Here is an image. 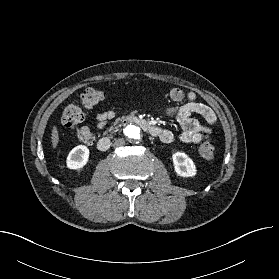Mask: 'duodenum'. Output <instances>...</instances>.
Instances as JSON below:
<instances>
[{"instance_id":"duodenum-1","label":"duodenum","mask_w":279,"mask_h":279,"mask_svg":"<svg viewBox=\"0 0 279 279\" xmlns=\"http://www.w3.org/2000/svg\"><path fill=\"white\" fill-rule=\"evenodd\" d=\"M128 123H134L140 126L145 132L149 133L150 135L157 136L159 130L156 126L152 125L148 120L144 118H140L134 115H127L122 117L119 120V125H125ZM110 139L108 137H102L97 142V148L100 151H106L110 147Z\"/></svg>"}]
</instances>
